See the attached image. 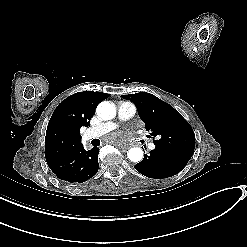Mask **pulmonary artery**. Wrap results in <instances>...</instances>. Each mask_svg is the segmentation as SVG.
<instances>
[{"mask_svg": "<svg viewBox=\"0 0 247 247\" xmlns=\"http://www.w3.org/2000/svg\"><path fill=\"white\" fill-rule=\"evenodd\" d=\"M136 112V108L132 105H129L126 102H120L118 104V117L119 119L125 120L128 118H131L132 116H134ZM120 123L117 120H114L112 122L107 121L105 123H102L101 125H97V126H91L89 127L88 130H86L83 135H82V140L84 142L89 141L91 139H94L96 137V133L97 134H101V133H107L109 131H114L117 128H119ZM146 147L148 150L153 151L156 149L157 144L155 141L150 140L147 142Z\"/></svg>", "mask_w": 247, "mask_h": 247, "instance_id": "1", "label": "pulmonary artery"}]
</instances>
